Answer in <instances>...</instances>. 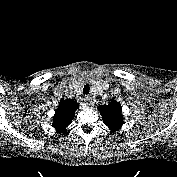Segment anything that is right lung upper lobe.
I'll use <instances>...</instances> for the list:
<instances>
[{
    "label": "right lung upper lobe",
    "instance_id": "1",
    "mask_svg": "<svg viewBox=\"0 0 177 177\" xmlns=\"http://www.w3.org/2000/svg\"><path fill=\"white\" fill-rule=\"evenodd\" d=\"M78 104L74 99L61 100L58 109L55 111L52 126L58 133H65L68 125L75 117V111L78 109Z\"/></svg>",
    "mask_w": 177,
    "mask_h": 177
}]
</instances>
